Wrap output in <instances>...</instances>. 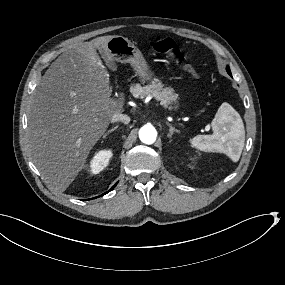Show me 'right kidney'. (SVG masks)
Returning <instances> with one entry per match:
<instances>
[{
	"label": "right kidney",
	"instance_id": "1",
	"mask_svg": "<svg viewBox=\"0 0 285 285\" xmlns=\"http://www.w3.org/2000/svg\"><path fill=\"white\" fill-rule=\"evenodd\" d=\"M110 157H111L110 151H101L98 154H96L91 165L92 171L94 173H98L101 170L102 165L107 164Z\"/></svg>",
	"mask_w": 285,
	"mask_h": 285
}]
</instances>
